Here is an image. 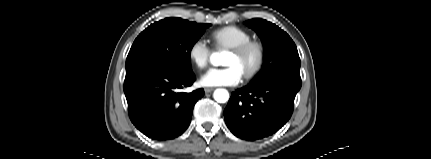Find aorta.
<instances>
[{
    "label": "aorta",
    "mask_w": 431,
    "mask_h": 159,
    "mask_svg": "<svg viewBox=\"0 0 431 159\" xmlns=\"http://www.w3.org/2000/svg\"><path fill=\"white\" fill-rule=\"evenodd\" d=\"M223 60V54L219 52H214L210 56V61L214 66L222 65ZM213 97L218 103H225L229 99V93L225 89H216Z\"/></svg>",
    "instance_id": "1"
}]
</instances>
